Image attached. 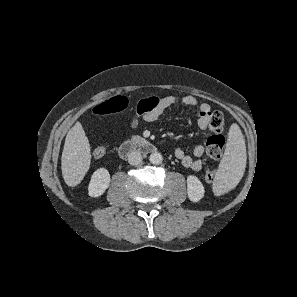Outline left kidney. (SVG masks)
Returning a JSON list of instances; mask_svg holds the SVG:
<instances>
[{
    "label": "left kidney",
    "instance_id": "1",
    "mask_svg": "<svg viewBox=\"0 0 297 297\" xmlns=\"http://www.w3.org/2000/svg\"><path fill=\"white\" fill-rule=\"evenodd\" d=\"M205 190L198 177L189 175L187 177V194L192 202H199L204 196Z\"/></svg>",
    "mask_w": 297,
    "mask_h": 297
}]
</instances>
